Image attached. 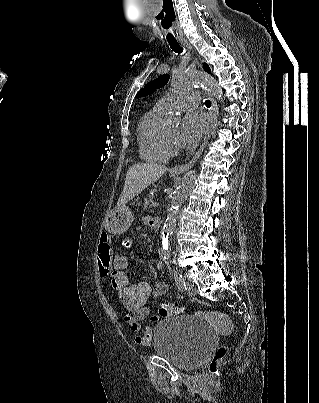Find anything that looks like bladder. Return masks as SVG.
Returning <instances> with one entry per match:
<instances>
[{"instance_id":"1","label":"bladder","mask_w":319,"mask_h":403,"mask_svg":"<svg viewBox=\"0 0 319 403\" xmlns=\"http://www.w3.org/2000/svg\"><path fill=\"white\" fill-rule=\"evenodd\" d=\"M154 352L181 369L201 364L216 346L215 334L201 319L183 315L162 319L154 328Z\"/></svg>"}]
</instances>
